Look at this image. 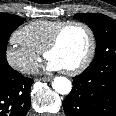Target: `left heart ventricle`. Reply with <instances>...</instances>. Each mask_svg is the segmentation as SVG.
I'll list each match as a JSON object with an SVG mask.
<instances>
[{"label":"left heart ventricle","mask_w":116,"mask_h":116,"mask_svg":"<svg viewBox=\"0 0 116 116\" xmlns=\"http://www.w3.org/2000/svg\"><path fill=\"white\" fill-rule=\"evenodd\" d=\"M88 48V33L80 26H71L64 31L58 46L48 53L47 59L55 60L64 70L71 69L84 60Z\"/></svg>","instance_id":"left-heart-ventricle-1"}]
</instances>
